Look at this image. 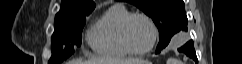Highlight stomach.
I'll use <instances>...</instances> for the list:
<instances>
[{
  "mask_svg": "<svg viewBox=\"0 0 242 64\" xmlns=\"http://www.w3.org/2000/svg\"><path fill=\"white\" fill-rule=\"evenodd\" d=\"M142 64H151L150 62L146 61L145 63H142Z\"/></svg>",
  "mask_w": 242,
  "mask_h": 64,
  "instance_id": "obj_1",
  "label": "stomach"
}]
</instances>
